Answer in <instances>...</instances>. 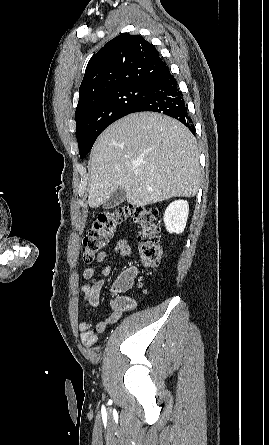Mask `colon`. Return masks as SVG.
<instances>
[{
    "mask_svg": "<svg viewBox=\"0 0 269 445\" xmlns=\"http://www.w3.org/2000/svg\"><path fill=\"white\" fill-rule=\"evenodd\" d=\"M138 225V245L141 262L146 266H155L160 259L158 210L152 206H120L101 212L82 242V259L92 263L128 218ZM133 281L125 276L116 281L113 290L121 293L128 290Z\"/></svg>",
    "mask_w": 269,
    "mask_h": 445,
    "instance_id": "5ec220e1",
    "label": "colon"
}]
</instances>
